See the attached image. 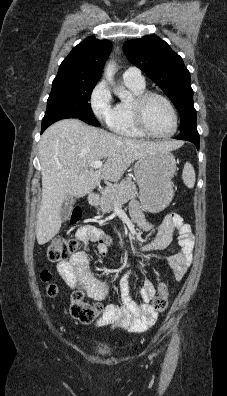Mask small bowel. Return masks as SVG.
<instances>
[{"label": "small bowel", "mask_w": 227, "mask_h": 396, "mask_svg": "<svg viewBox=\"0 0 227 396\" xmlns=\"http://www.w3.org/2000/svg\"><path fill=\"white\" fill-rule=\"evenodd\" d=\"M130 214L135 223L143 230L149 231L153 225L145 219V216L138 204L134 201L130 205ZM178 232V250L168 258V265L176 280H180L193 260L194 236L191 228L183 218L176 214H168L158 225L156 234L145 245L140 247L141 251L164 249L173 241L174 231ZM77 239L86 245L88 242L97 243V252L104 256L111 244V239L102 232L90 225L82 226L77 230ZM57 269L66 284L74 289L78 285H83L88 297L94 300H101L106 297L111 288V283L97 276L89 268L86 253L81 250L72 255L67 261H61ZM131 272H126L118 285L121 304H109L104 308L103 313L96 321L97 327L112 326L123 327L133 333H141L154 325L157 319V312L153 309L151 301L156 290L151 280L146 279L138 288L140 302L134 301L130 296Z\"/></svg>", "instance_id": "1"}]
</instances>
